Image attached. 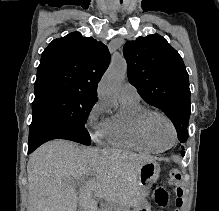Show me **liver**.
Returning a JSON list of instances; mask_svg holds the SVG:
<instances>
[{
  "mask_svg": "<svg viewBox=\"0 0 219 211\" xmlns=\"http://www.w3.org/2000/svg\"><path fill=\"white\" fill-rule=\"evenodd\" d=\"M150 159L111 147L79 149L67 139L47 141L28 159V211H101V197L108 203L139 207L138 169ZM86 173L95 177L84 179Z\"/></svg>",
  "mask_w": 219,
  "mask_h": 211,
  "instance_id": "6515ba94",
  "label": "liver"
}]
</instances>
